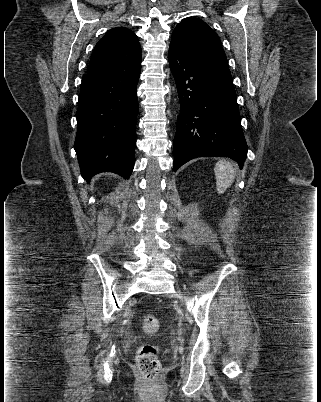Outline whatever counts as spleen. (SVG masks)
I'll return each mask as SVG.
<instances>
[{
	"label": "spleen",
	"mask_w": 321,
	"mask_h": 402,
	"mask_svg": "<svg viewBox=\"0 0 321 402\" xmlns=\"http://www.w3.org/2000/svg\"><path fill=\"white\" fill-rule=\"evenodd\" d=\"M218 194H223L234 180V168L229 161L220 160L214 168Z\"/></svg>",
	"instance_id": "obj_1"
}]
</instances>
